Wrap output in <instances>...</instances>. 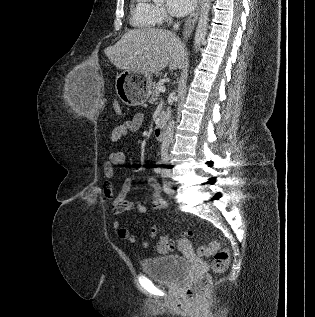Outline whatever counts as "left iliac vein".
Listing matches in <instances>:
<instances>
[{
  "instance_id": "4c4485c4",
  "label": "left iliac vein",
  "mask_w": 315,
  "mask_h": 317,
  "mask_svg": "<svg viewBox=\"0 0 315 317\" xmlns=\"http://www.w3.org/2000/svg\"><path fill=\"white\" fill-rule=\"evenodd\" d=\"M165 176V173L163 174ZM164 185H167V183H165ZM167 193H173V190L170 188V186H168V190L166 191Z\"/></svg>"
}]
</instances>
